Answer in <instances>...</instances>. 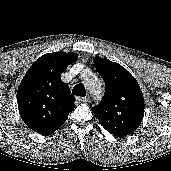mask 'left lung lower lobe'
Instances as JSON below:
<instances>
[{
  "label": "left lung lower lobe",
  "instance_id": "0a47b994",
  "mask_svg": "<svg viewBox=\"0 0 171 171\" xmlns=\"http://www.w3.org/2000/svg\"><path fill=\"white\" fill-rule=\"evenodd\" d=\"M109 132L112 133L114 136H117V137H124V136L128 135V134L123 133L121 131H109Z\"/></svg>",
  "mask_w": 171,
  "mask_h": 171
}]
</instances>
